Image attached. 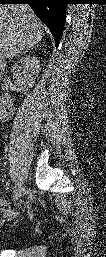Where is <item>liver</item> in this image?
<instances>
[{
    "label": "liver",
    "mask_w": 106,
    "mask_h": 257,
    "mask_svg": "<svg viewBox=\"0 0 106 257\" xmlns=\"http://www.w3.org/2000/svg\"><path fill=\"white\" fill-rule=\"evenodd\" d=\"M43 38L42 23L28 5L0 7V58H12Z\"/></svg>",
    "instance_id": "1"
}]
</instances>
